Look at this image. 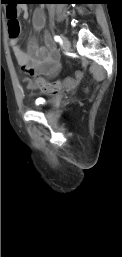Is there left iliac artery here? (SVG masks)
<instances>
[{
    "instance_id": "left-iliac-artery-1",
    "label": "left iliac artery",
    "mask_w": 122,
    "mask_h": 257,
    "mask_svg": "<svg viewBox=\"0 0 122 257\" xmlns=\"http://www.w3.org/2000/svg\"><path fill=\"white\" fill-rule=\"evenodd\" d=\"M54 40H55L56 42H62V39H61V37H60L59 35H55V36H54Z\"/></svg>"
}]
</instances>
